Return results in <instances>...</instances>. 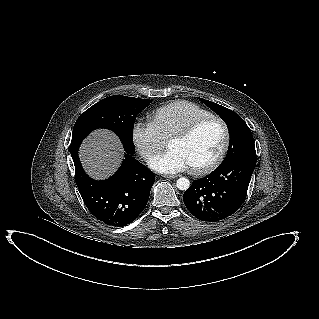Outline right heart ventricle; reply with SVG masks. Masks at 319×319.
Returning <instances> with one entry per match:
<instances>
[{"mask_svg": "<svg viewBox=\"0 0 319 319\" xmlns=\"http://www.w3.org/2000/svg\"><path fill=\"white\" fill-rule=\"evenodd\" d=\"M208 115L212 114L195 103L175 100L153 110L149 118L163 138L168 140L193 120Z\"/></svg>", "mask_w": 319, "mask_h": 319, "instance_id": "obj_1", "label": "right heart ventricle"}]
</instances>
